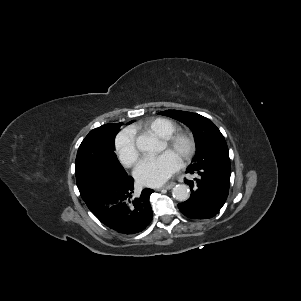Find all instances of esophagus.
<instances>
[{
    "label": "esophagus",
    "instance_id": "esophagus-1",
    "mask_svg": "<svg viewBox=\"0 0 301 301\" xmlns=\"http://www.w3.org/2000/svg\"><path fill=\"white\" fill-rule=\"evenodd\" d=\"M175 184H176L175 182H171V183L161 187V189H171L172 187L175 186Z\"/></svg>",
    "mask_w": 301,
    "mask_h": 301
}]
</instances>
